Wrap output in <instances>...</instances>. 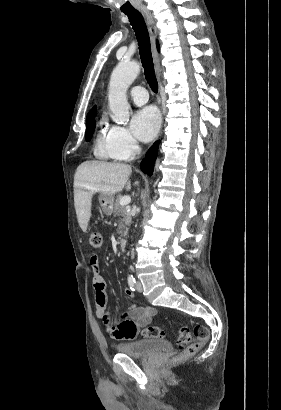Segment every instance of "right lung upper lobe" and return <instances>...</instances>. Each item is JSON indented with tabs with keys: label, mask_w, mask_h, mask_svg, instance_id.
Segmentation results:
<instances>
[{
	"label": "right lung upper lobe",
	"mask_w": 281,
	"mask_h": 410,
	"mask_svg": "<svg viewBox=\"0 0 281 410\" xmlns=\"http://www.w3.org/2000/svg\"><path fill=\"white\" fill-rule=\"evenodd\" d=\"M157 48H158V50H159V44H158V42H157ZM96 115V106H94L92 109H91V111L88 113V115H87V118H89V117H92V116H95Z\"/></svg>",
	"instance_id": "cb5924a9"
}]
</instances>
